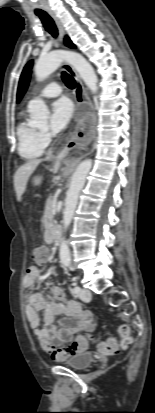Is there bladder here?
Returning <instances> with one entry per match:
<instances>
[{"instance_id": "obj_1", "label": "bladder", "mask_w": 155, "mask_h": 413, "mask_svg": "<svg viewBox=\"0 0 155 413\" xmlns=\"http://www.w3.org/2000/svg\"><path fill=\"white\" fill-rule=\"evenodd\" d=\"M94 362V357L91 353H79L71 356L65 365L73 370H85Z\"/></svg>"}]
</instances>
